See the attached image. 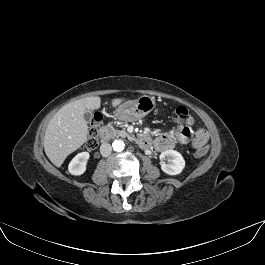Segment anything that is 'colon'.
<instances>
[{
	"mask_svg": "<svg viewBox=\"0 0 265 265\" xmlns=\"http://www.w3.org/2000/svg\"><path fill=\"white\" fill-rule=\"evenodd\" d=\"M174 115L178 122L189 125L193 122V116L189 110L184 106H178L174 110ZM102 121V117L99 113H96L91 122V129L86 142V147L89 150H93L98 146L97 128ZM204 154V149L195 152L196 157H201Z\"/></svg>",
	"mask_w": 265,
	"mask_h": 265,
	"instance_id": "1",
	"label": "colon"
}]
</instances>
